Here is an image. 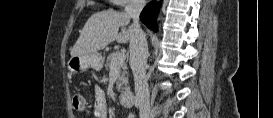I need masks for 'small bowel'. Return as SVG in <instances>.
I'll use <instances>...</instances> for the list:
<instances>
[{
  "instance_id": "obj_1",
  "label": "small bowel",
  "mask_w": 273,
  "mask_h": 118,
  "mask_svg": "<svg viewBox=\"0 0 273 118\" xmlns=\"http://www.w3.org/2000/svg\"><path fill=\"white\" fill-rule=\"evenodd\" d=\"M91 110H88V114H92L94 118H106L107 117V97L105 92L99 88H95V93L91 105Z\"/></svg>"
}]
</instances>
